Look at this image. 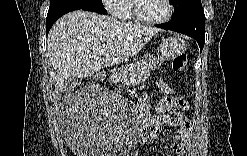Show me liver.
Wrapping results in <instances>:
<instances>
[{"label": "liver", "mask_w": 247, "mask_h": 156, "mask_svg": "<svg viewBox=\"0 0 247 156\" xmlns=\"http://www.w3.org/2000/svg\"><path fill=\"white\" fill-rule=\"evenodd\" d=\"M159 31L88 11L61 17L47 37V54L57 73L55 90L70 77L85 78L135 56Z\"/></svg>", "instance_id": "liver-1"}]
</instances>
